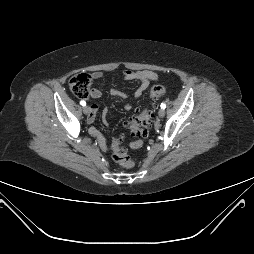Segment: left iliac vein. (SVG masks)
I'll use <instances>...</instances> for the list:
<instances>
[{
    "mask_svg": "<svg viewBox=\"0 0 254 254\" xmlns=\"http://www.w3.org/2000/svg\"><path fill=\"white\" fill-rule=\"evenodd\" d=\"M158 116H159L160 118L164 117V116H165V110L161 108V109L159 110V112H158Z\"/></svg>",
    "mask_w": 254,
    "mask_h": 254,
    "instance_id": "1",
    "label": "left iliac vein"
}]
</instances>
